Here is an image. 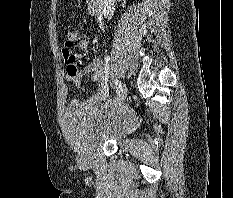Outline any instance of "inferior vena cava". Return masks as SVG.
Returning <instances> with one entry per match:
<instances>
[{
    "label": "inferior vena cava",
    "mask_w": 233,
    "mask_h": 198,
    "mask_svg": "<svg viewBox=\"0 0 233 198\" xmlns=\"http://www.w3.org/2000/svg\"><path fill=\"white\" fill-rule=\"evenodd\" d=\"M115 0H101L102 14L105 18L110 19L113 16Z\"/></svg>",
    "instance_id": "obj_1"
}]
</instances>
